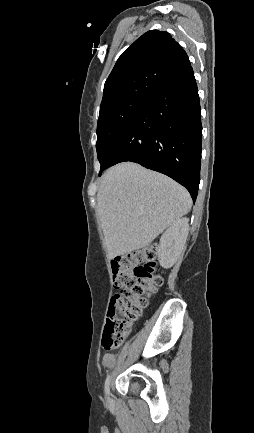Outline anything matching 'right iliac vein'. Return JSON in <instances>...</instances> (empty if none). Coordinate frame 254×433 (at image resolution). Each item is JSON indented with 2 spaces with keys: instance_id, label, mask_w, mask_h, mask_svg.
<instances>
[{
  "instance_id": "right-iliac-vein-1",
  "label": "right iliac vein",
  "mask_w": 254,
  "mask_h": 433,
  "mask_svg": "<svg viewBox=\"0 0 254 433\" xmlns=\"http://www.w3.org/2000/svg\"><path fill=\"white\" fill-rule=\"evenodd\" d=\"M107 402L110 403L111 402V398H110V394H107Z\"/></svg>"
}]
</instances>
